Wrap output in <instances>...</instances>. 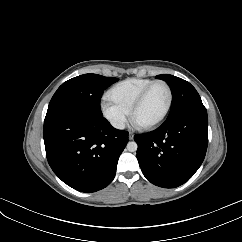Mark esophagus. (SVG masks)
Returning <instances> with one entry per match:
<instances>
[{
    "instance_id": "esophagus-1",
    "label": "esophagus",
    "mask_w": 242,
    "mask_h": 242,
    "mask_svg": "<svg viewBox=\"0 0 242 242\" xmlns=\"http://www.w3.org/2000/svg\"><path fill=\"white\" fill-rule=\"evenodd\" d=\"M134 135L132 133H129V140H133Z\"/></svg>"
}]
</instances>
